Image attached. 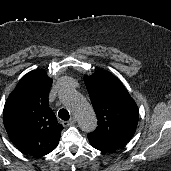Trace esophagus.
Returning <instances> with one entry per match:
<instances>
[{"label": "esophagus", "instance_id": "esophagus-1", "mask_svg": "<svg viewBox=\"0 0 171 171\" xmlns=\"http://www.w3.org/2000/svg\"><path fill=\"white\" fill-rule=\"evenodd\" d=\"M75 122H76V118L75 117H71V119L69 121H64L63 125L64 126H70V125L75 124Z\"/></svg>", "mask_w": 171, "mask_h": 171}]
</instances>
